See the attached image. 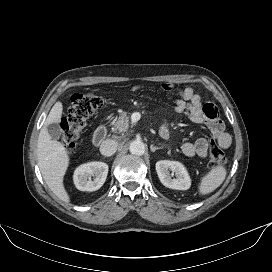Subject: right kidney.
I'll use <instances>...</instances> for the list:
<instances>
[{"instance_id":"1","label":"right kidney","mask_w":272,"mask_h":272,"mask_svg":"<svg viewBox=\"0 0 272 272\" xmlns=\"http://www.w3.org/2000/svg\"><path fill=\"white\" fill-rule=\"evenodd\" d=\"M108 174V165L104 162H89L80 165L74 172V184L80 191H96L102 187ZM94 177L92 180L91 177Z\"/></svg>"}]
</instances>
